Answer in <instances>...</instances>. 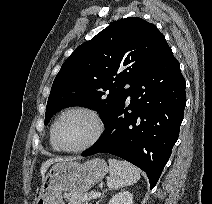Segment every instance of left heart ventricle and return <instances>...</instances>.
<instances>
[{
    "mask_svg": "<svg viewBox=\"0 0 212 204\" xmlns=\"http://www.w3.org/2000/svg\"><path fill=\"white\" fill-rule=\"evenodd\" d=\"M93 133L91 120L82 114H68L57 125L56 135L59 143L66 148L83 145Z\"/></svg>",
    "mask_w": 212,
    "mask_h": 204,
    "instance_id": "left-heart-ventricle-1",
    "label": "left heart ventricle"
}]
</instances>
